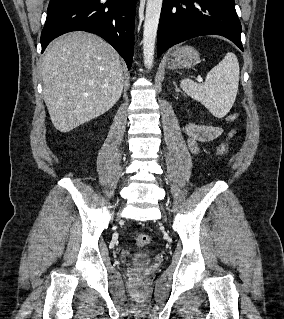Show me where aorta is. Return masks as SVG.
<instances>
[{
	"mask_svg": "<svg viewBox=\"0 0 284 319\" xmlns=\"http://www.w3.org/2000/svg\"><path fill=\"white\" fill-rule=\"evenodd\" d=\"M163 0H147L144 30H143V56L147 69L153 67L155 41Z\"/></svg>",
	"mask_w": 284,
	"mask_h": 319,
	"instance_id": "762f6f07",
	"label": "aorta"
}]
</instances>
